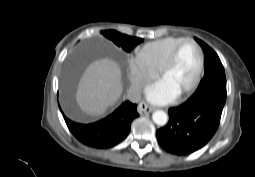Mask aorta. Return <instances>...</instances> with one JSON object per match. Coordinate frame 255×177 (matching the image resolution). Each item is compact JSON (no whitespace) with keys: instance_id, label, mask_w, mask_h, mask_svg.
<instances>
[{"instance_id":"obj_1","label":"aorta","mask_w":255,"mask_h":177,"mask_svg":"<svg viewBox=\"0 0 255 177\" xmlns=\"http://www.w3.org/2000/svg\"><path fill=\"white\" fill-rule=\"evenodd\" d=\"M152 119L156 125L164 126L168 121V116L164 111L156 110L152 114Z\"/></svg>"}]
</instances>
